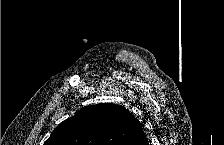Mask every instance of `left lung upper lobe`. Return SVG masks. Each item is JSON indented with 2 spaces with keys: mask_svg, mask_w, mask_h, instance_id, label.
I'll use <instances>...</instances> for the list:
<instances>
[{
  "mask_svg": "<svg viewBox=\"0 0 224 145\" xmlns=\"http://www.w3.org/2000/svg\"><path fill=\"white\" fill-rule=\"evenodd\" d=\"M143 134L126 108L107 103L82 108L60 123L44 145H137Z\"/></svg>",
  "mask_w": 224,
  "mask_h": 145,
  "instance_id": "left-lung-upper-lobe-1",
  "label": "left lung upper lobe"
}]
</instances>
